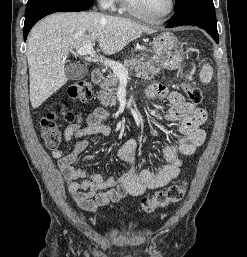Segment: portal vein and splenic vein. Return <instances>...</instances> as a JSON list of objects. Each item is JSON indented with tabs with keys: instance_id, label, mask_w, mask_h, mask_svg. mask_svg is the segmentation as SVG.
<instances>
[{
	"instance_id": "1",
	"label": "portal vein and splenic vein",
	"mask_w": 247,
	"mask_h": 257,
	"mask_svg": "<svg viewBox=\"0 0 247 257\" xmlns=\"http://www.w3.org/2000/svg\"><path fill=\"white\" fill-rule=\"evenodd\" d=\"M78 55H90L92 58H98L96 55L95 50L93 49V44L89 43L80 49L77 50L76 53ZM100 62L103 63V65L108 66L112 69V71L116 74L118 79L127 81L129 76H128V70L119 62H115L112 60H103L102 58H99Z\"/></svg>"
}]
</instances>
